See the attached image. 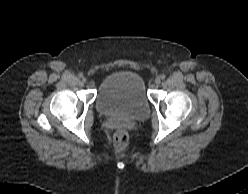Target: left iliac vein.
I'll return each mask as SVG.
<instances>
[{
    "instance_id": "left-iliac-vein-1",
    "label": "left iliac vein",
    "mask_w": 248,
    "mask_h": 194,
    "mask_svg": "<svg viewBox=\"0 0 248 194\" xmlns=\"http://www.w3.org/2000/svg\"><path fill=\"white\" fill-rule=\"evenodd\" d=\"M161 83V78L160 77H157L156 79H155V84L156 85H159Z\"/></svg>"
}]
</instances>
